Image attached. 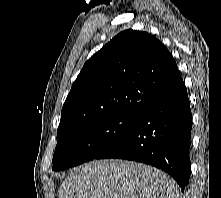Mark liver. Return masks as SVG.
Wrapping results in <instances>:
<instances>
[{"label":"liver","mask_w":221,"mask_h":198,"mask_svg":"<svg viewBox=\"0 0 221 198\" xmlns=\"http://www.w3.org/2000/svg\"><path fill=\"white\" fill-rule=\"evenodd\" d=\"M59 198H180L179 187L161 170L132 161L95 160L74 168Z\"/></svg>","instance_id":"obj_1"}]
</instances>
